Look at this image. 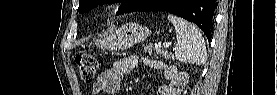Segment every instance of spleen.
I'll return each mask as SVG.
<instances>
[{"mask_svg":"<svg viewBox=\"0 0 277 95\" xmlns=\"http://www.w3.org/2000/svg\"><path fill=\"white\" fill-rule=\"evenodd\" d=\"M167 18L176 30L175 57L184 63L203 64L206 59V47L199 29L177 16L169 14Z\"/></svg>","mask_w":277,"mask_h":95,"instance_id":"spleen-1","label":"spleen"}]
</instances>
